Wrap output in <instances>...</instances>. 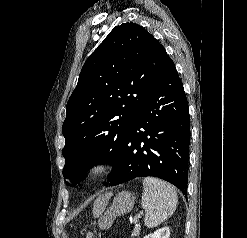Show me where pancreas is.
Instances as JSON below:
<instances>
[{
  "instance_id": "obj_1",
  "label": "pancreas",
  "mask_w": 247,
  "mask_h": 238,
  "mask_svg": "<svg viewBox=\"0 0 247 238\" xmlns=\"http://www.w3.org/2000/svg\"><path fill=\"white\" fill-rule=\"evenodd\" d=\"M136 222H137V221H135V223H136ZM140 230H141L140 224H136L134 230L132 231L131 236H137V235H139Z\"/></svg>"
}]
</instances>
